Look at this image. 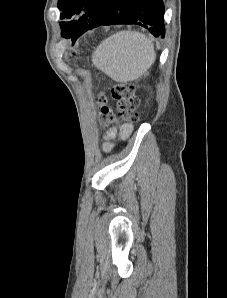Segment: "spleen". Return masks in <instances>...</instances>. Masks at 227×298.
Segmentation results:
<instances>
[{
  "label": "spleen",
  "instance_id": "obj_1",
  "mask_svg": "<svg viewBox=\"0 0 227 298\" xmlns=\"http://www.w3.org/2000/svg\"><path fill=\"white\" fill-rule=\"evenodd\" d=\"M152 41L144 34L123 30L103 40L92 55L93 64L118 82L141 77L154 63Z\"/></svg>",
  "mask_w": 227,
  "mask_h": 298
}]
</instances>
